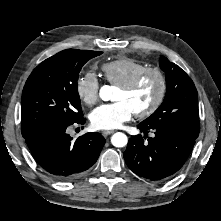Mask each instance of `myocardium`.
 Returning a JSON list of instances; mask_svg holds the SVG:
<instances>
[{
  "mask_svg": "<svg viewBox=\"0 0 221 221\" xmlns=\"http://www.w3.org/2000/svg\"><path fill=\"white\" fill-rule=\"evenodd\" d=\"M149 74H153L157 77L159 87H158V91L153 102L144 110L135 112V115L140 118H145V117L152 115L162 105L165 99L166 93H167V88H168V81H167V77L165 73L158 67L148 66L140 70L138 73H136L131 79H129L125 83L118 85V89H121L124 91L133 90Z\"/></svg>",
  "mask_w": 221,
  "mask_h": 221,
  "instance_id": "f54148a6",
  "label": "myocardium"
}]
</instances>
